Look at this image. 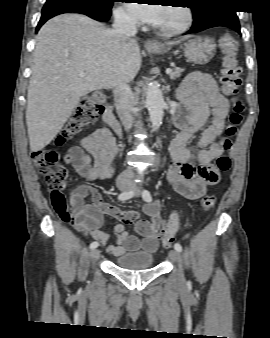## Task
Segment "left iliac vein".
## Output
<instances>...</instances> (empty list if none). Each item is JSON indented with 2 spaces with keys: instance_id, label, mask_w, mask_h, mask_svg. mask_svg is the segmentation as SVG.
<instances>
[{
  "instance_id": "left-iliac-vein-1",
  "label": "left iliac vein",
  "mask_w": 270,
  "mask_h": 338,
  "mask_svg": "<svg viewBox=\"0 0 270 338\" xmlns=\"http://www.w3.org/2000/svg\"><path fill=\"white\" fill-rule=\"evenodd\" d=\"M131 189L135 190L136 195L140 194V190L136 185H131ZM169 258L177 264V270L180 280H183V270H182V264L180 260L179 252L175 249H172L168 253Z\"/></svg>"
}]
</instances>
